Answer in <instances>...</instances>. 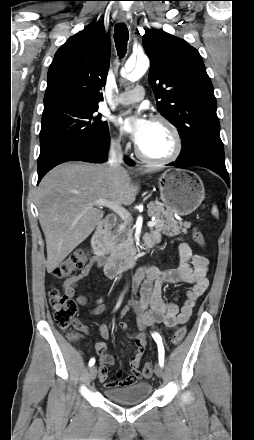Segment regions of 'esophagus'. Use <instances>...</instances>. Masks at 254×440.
Returning <instances> with one entry per match:
<instances>
[{
  "instance_id": "1",
  "label": "esophagus",
  "mask_w": 254,
  "mask_h": 440,
  "mask_svg": "<svg viewBox=\"0 0 254 440\" xmlns=\"http://www.w3.org/2000/svg\"><path fill=\"white\" fill-rule=\"evenodd\" d=\"M117 21H118L119 23H125V22L127 21V18H126L125 15H118V16H117Z\"/></svg>"
}]
</instances>
